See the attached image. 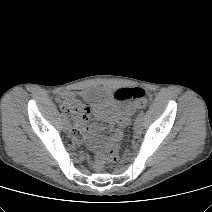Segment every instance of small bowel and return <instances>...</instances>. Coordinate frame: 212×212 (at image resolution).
Masks as SVG:
<instances>
[{
    "instance_id": "small-bowel-1",
    "label": "small bowel",
    "mask_w": 212,
    "mask_h": 212,
    "mask_svg": "<svg viewBox=\"0 0 212 212\" xmlns=\"http://www.w3.org/2000/svg\"><path fill=\"white\" fill-rule=\"evenodd\" d=\"M79 96L92 105L91 113L94 117L112 127L123 113H131L134 110L132 106H123L117 103L110 92L104 89L97 91H81ZM88 113L84 117L76 118L72 130V137L77 141L87 140L93 149H99L101 140L96 136L104 129L102 125H94L88 122Z\"/></svg>"
}]
</instances>
